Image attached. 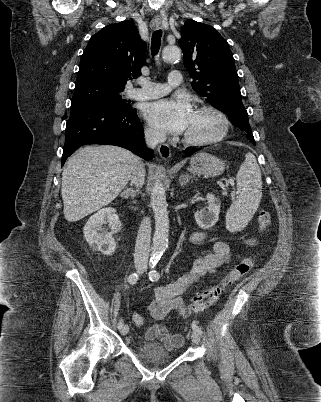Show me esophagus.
Instances as JSON below:
<instances>
[{
  "label": "esophagus",
  "instance_id": "1",
  "mask_svg": "<svg viewBox=\"0 0 321 402\" xmlns=\"http://www.w3.org/2000/svg\"><path fill=\"white\" fill-rule=\"evenodd\" d=\"M161 23H162V20H161V19L158 18V19L155 20L156 26H160ZM157 149H158L159 155H160L164 160H167V159L170 158V156H171V150H170V147H169L167 144L161 143V144L158 145V148H157Z\"/></svg>",
  "mask_w": 321,
  "mask_h": 402
}]
</instances>
